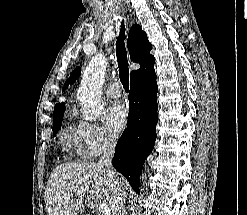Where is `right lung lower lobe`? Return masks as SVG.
I'll list each match as a JSON object with an SVG mask.
<instances>
[{
	"label": "right lung lower lobe",
	"instance_id": "98d812e1",
	"mask_svg": "<svg viewBox=\"0 0 247 215\" xmlns=\"http://www.w3.org/2000/svg\"><path fill=\"white\" fill-rule=\"evenodd\" d=\"M154 62L137 70L130 77L129 114L127 129L119 138L113 166L137 192L139 176L156 140L157 92Z\"/></svg>",
	"mask_w": 247,
	"mask_h": 215
}]
</instances>
